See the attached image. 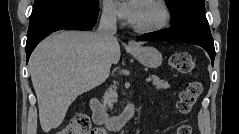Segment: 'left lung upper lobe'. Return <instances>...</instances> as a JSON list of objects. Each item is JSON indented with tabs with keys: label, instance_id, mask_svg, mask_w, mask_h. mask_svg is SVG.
Listing matches in <instances>:
<instances>
[{
	"label": "left lung upper lobe",
	"instance_id": "5c2ea615",
	"mask_svg": "<svg viewBox=\"0 0 239 134\" xmlns=\"http://www.w3.org/2000/svg\"><path fill=\"white\" fill-rule=\"evenodd\" d=\"M171 13V23L175 25L189 14H204V0H165Z\"/></svg>",
	"mask_w": 239,
	"mask_h": 134
}]
</instances>
